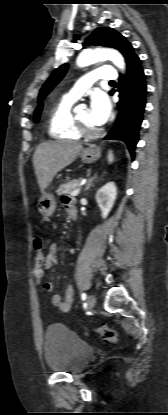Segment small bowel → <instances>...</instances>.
<instances>
[{
  "label": "small bowel",
  "instance_id": "c3829d8e",
  "mask_svg": "<svg viewBox=\"0 0 168 415\" xmlns=\"http://www.w3.org/2000/svg\"><path fill=\"white\" fill-rule=\"evenodd\" d=\"M63 203L67 210L70 212L74 208L72 200L68 197H63ZM57 245L56 243H51L48 247L47 257H46V269L52 267L53 264L57 262ZM42 288L45 292L51 293L53 291V283L46 281L43 283ZM74 300V288L71 285H67L64 292V298L60 294H51L50 301L55 305L60 311L67 312L71 309Z\"/></svg>",
  "mask_w": 168,
  "mask_h": 415
}]
</instances>
